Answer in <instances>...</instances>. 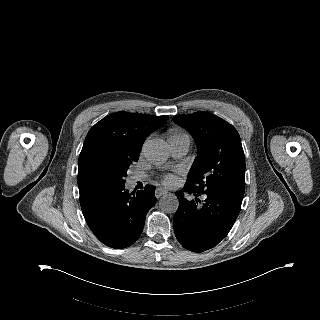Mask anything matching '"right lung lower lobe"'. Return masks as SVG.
I'll list each match as a JSON object with an SVG mask.
<instances>
[{
  "label": "right lung lower lobe",
  "mask_w": 320,
  "mask_h": 320,
  "mask_svg": "<svg viewBox=\"0 0 320 320\" xmlns=\"http://www.w3.org/2000/svg\"><path fill=\"white\" fill-rule=\"evenodd\" d=\"M155 187L129 193L125 184L91 181L79 187L84 218L94 235L105 245L122 249L141 235L148 210L154 206Z\"/></svg>",
  "instance_id": "right-lung-lower-lobe-1"
}]
</instances>
